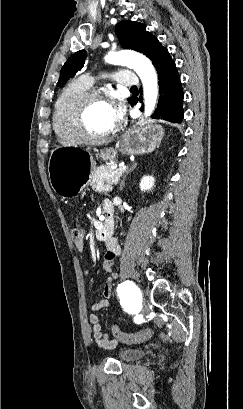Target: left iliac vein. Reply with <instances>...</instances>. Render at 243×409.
I'll return each mask as SVG.
<instances>
[{"label":"left iliac vein","instance_id":"1","mask_svg":"<svg viewBox=\"0 0 243 409\" xmlns=\"http://www.w3.org/2000/svg\"><path fill=\"white\" fill-rule=\"evenodd\" d=\"M143 313L144 314L149 313V306L146 300L143 301Z\"/></svg>","mask_w":243,"mask_h":409}]
</instances>
